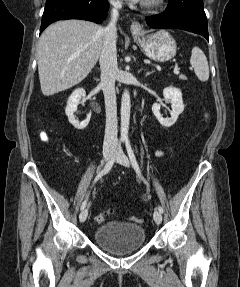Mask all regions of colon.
I'll list each match as a JSON object with an SVG mask.
<instances>
[{
	"label": "colon",
	"instance_id": "obj_1",
	"mask_svg": "<svg viewBox=\"0 0 240 287\" xmlns=\"http://www.w3.org/2000/svg\"><path fill=\"white\" fill-rule=\"evenodd\" d=\"M41 137H42V139H43L44 141H47V140H48V136H47L46 133H42V134H41ZM112 212H113L112 209H108V210H106L105 212L98 214V215L95 217V221H96L98 224L104 222L105 219H106V217H107L108 215H110ZM132 219H133L134 221H139V220H140V219L135 218V217H133Z\"/></svg>",
	"mask_w": 240,
	"mask_h": 287
}]
</instances>
